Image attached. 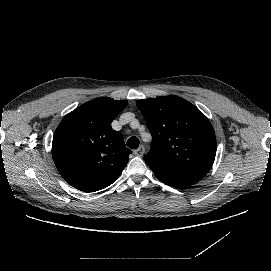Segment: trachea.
<instances>
[{"label":"trachea","mask_w":271,"mask_h":271,"mask_svg":"<svg viewBox=\"0 0 271 271\" xmlns=\"http://www.w3.org/2000/svg\"><path fill=\"white\" fill-rule=\"evenodd\" d=\"M126 144L131 149H137L139 147V139L137 137H130Z\"/></svg>","instance_id":"obj_1"}]
</instances>
